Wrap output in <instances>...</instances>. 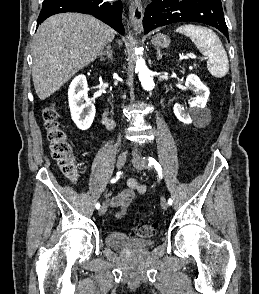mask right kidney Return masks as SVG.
I'll return each mask as SVG.
<instances>
[{"label":"right kidney","mask_w":259,"mask_h":294,"mask_svg":"<svg viewBox=\"0 0 259 294\" xmlns=\"http://www.w3.org/2000/svg\"><path fill=\"white\" fill-rule=\"evenodd\" d=\"M71 117L76 126L87 130L95 117V106L88 98V85L85 75L75 77L68 90Z\"/></svg>","instance_id":"ca27d5eb"}]
</instances>
